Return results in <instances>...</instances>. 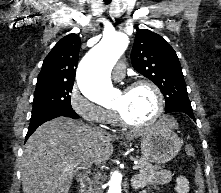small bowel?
<instances>
[{
  "instance_id": "obj_1",
  "label": "small bowel",
  "mask_w": 221,
  "mask_h": 193,
  "mask_svg": "<svg viewBox=\"0 0 221 193\" xmlns=\"http://www.w3.org/2000/svg\"><path fill=\"white\" fill-rule=\"evenodd\" d=\"M171 178L172 176L169 170H159L150 175L135 177L133 186L136 189H142L139 193H151L156 185L167 184L171 181ZM176 192H189V180L183 175L176 178Z\"/></svg>"
}]
</instances>
